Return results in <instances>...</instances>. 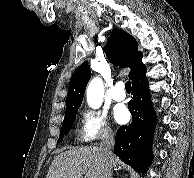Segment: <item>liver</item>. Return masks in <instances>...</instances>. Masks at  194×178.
<instances>
[{
  "instance_id": "obj_1",
  "label": "liver",
  "mask_w": 194,
  "mask_h": 178,
  "mask_svg": "<svg viewBox=\"0 0 194 178\" xmlns=\"http://www.w3.org/2000/svg\"><path fill=\"white\" fill-rule=\"evenodd\" d=\"M112 167H117L120 160L111 153ZM105 161L100 147L86 146L71 149L57 155L46 178H102Z\"/></svg>"
}]
</instances>
